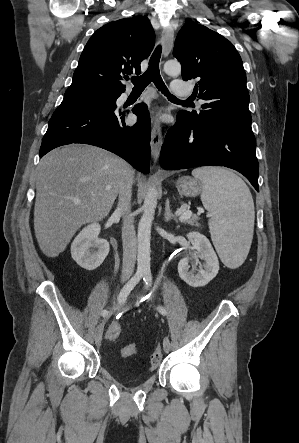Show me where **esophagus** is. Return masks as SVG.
Segmentation results:
<instances>
[{
	"mask_svg": "<svg viewBox=\"0 0 299 443\" xmlns=\"http://www.w3.org/2000/svg\"><path fill=\"white\" fill-rule=\"evenodd\" d=\"M161 42L163 54L164 56H167L170 53L174 42V30L171 25L164 27L162 30ZM150 145L152 157L154 161H157L162 146V130L161 126L157 122H154L152 126Z\"/></svg>",
	"mask_w": 299,
	"mask_h": 443,
	"instance_id": "obj_1",
	"label": "esophagus"
}]
</instances>
